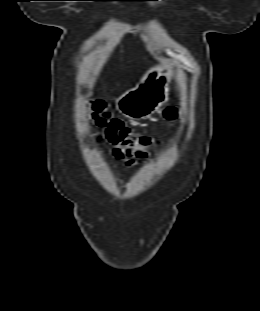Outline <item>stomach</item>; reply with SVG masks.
Here are the masks:
<instances>
[{
  "instance_id": "0dacf381",
  "label": "stomach",
  "mask_w": 260,
  "mask_h": 311,
  "mask_svg": "<svg viewBox=\"0 0 260 311\" xmlns=\"http://www.w3.org/2000/svg\"><path fill=\"white\" fill-rule=\"evenodd\" d=\"M172 74L173 65L169 61L151 68L135 88L116 99V108L131 120L149 117L167 100Z\"/></svg>"
}]
</instances>
